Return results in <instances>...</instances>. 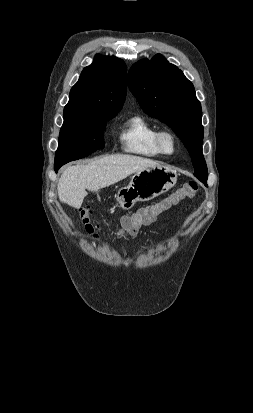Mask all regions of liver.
Listing matches in <instances>:
<instances>
[{"label": "liver", "instance_id": "liver-1", "mask_svg": "<svg viewBox=\"0 0 253 413\" xmlns=\"http://www.w3.org/2000/svg\"><path fill=\"white\" fill-rule=\"evenodd\" d=\"M158 166L161 165L153 160L131 155L105 156L70 166L58 180V196L61 202L78 209L87 196L86 189L98 192L133 173Z\"/></svg>", "mask_w": 253, "mask_h": 413}]
</instances>
